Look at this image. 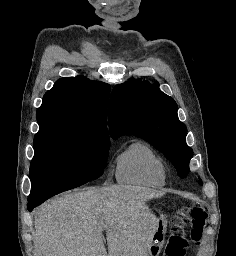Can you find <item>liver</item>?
<instances>
[{
	"label": "liver",
	"mask_w": 236,
	"mask_h": 256,
	"mask_svg": "<svg viewBox=\"0 0 236 256\" xmlns=\"http://www.w3.org/2000/svg\"><path fill=\"white\" fill-rule=\"evenodd\" d=\"M157 196L162 192L139 186L67 192L35 212L34 244L41 256H147L145 202Z\"/></svg>",
	"instance_id": "liver-1"
}]
</instances>
